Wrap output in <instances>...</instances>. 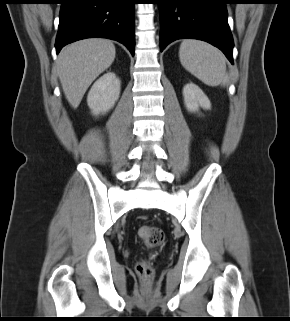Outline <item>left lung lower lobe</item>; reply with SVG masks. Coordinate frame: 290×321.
<instances>
[{
  "mask_svg": "<svg viewBox=\"0 0 290 321\" xmlns=\"http://www.w3.org/2000/svg\"><path fill=\"white\" fill-rule=\"evenodd\" d=\"M228 3V0H159L160 51L177 39H199L222 50L233 64Z\"/></svg>",
  "mask_w": 290,
  "mask_h": 321,
  "instance_id": "left-lung-lower-lobe-1",
  "label": "left lung lower lobe"
}]
</instances>
